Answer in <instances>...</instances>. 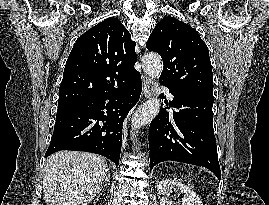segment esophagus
I'll list each match as a JSON object with an SVG mask.
<instances>
[{
    "mask_svg": "<svg viewBox=\"0 0 269 205\" xmlns=\"http://www.w3.org/2000/svg\"><path fill=\"white\" fill-rule=\"evenodd\" d=\"M142 91L144 98H151L155 95L153 82L146 76H143Z\"/></svg>",
    "mask_w": 269,
    "mask_h": 205,
    "instance_id": "esophagus-1",
    "label": "esophagus"
}]
</instances>
